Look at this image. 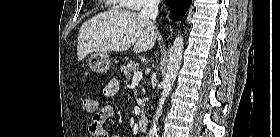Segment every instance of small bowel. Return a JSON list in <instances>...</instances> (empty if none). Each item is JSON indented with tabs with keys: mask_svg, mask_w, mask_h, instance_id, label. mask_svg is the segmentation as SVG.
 <instances>
[{
	"mask_svg": "<svg viewBox=\"0 0 280 137\" xmlns=\"http://www.w3.org/2000/svg\"><path fill=\"white\" fill-rule=\"evenodd\" d=\"M119 90V83L116 79H111L105 86L104 92L106 95L113 96ZM113 107L108 104L103 106L99 112L92 117V121L88 126L89 133L96 134V137H108L105 128V122L113 115Z\"/></svg>",
	"mask_w": 280,
	"mask_h": 137,
	"instance_id": "c3829d8e",
	"label": "small bowel"
}]
</instances>
